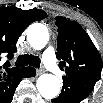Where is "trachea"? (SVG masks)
<instances>
[{"label":"trachea","mask_w":103,"mask_h":103,"mask_svg":"<svg viewBox=\"0 0 103 103\" xmlns=\"http://www.w3.org/2000/svg\"><path fill=\"white\" fill-rule=\"evenodd\" d=\"M15 65L18 67L30 65L35 68H39L40 67V58L37 56L28 55V54L20 55L18 57V59L16 60Z\"/></svg>","instance_id":"obj_1"}]
</instances>
